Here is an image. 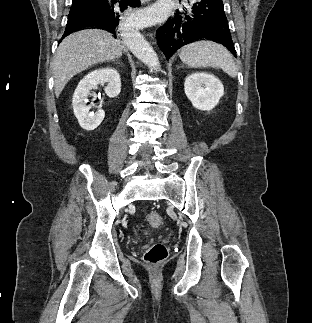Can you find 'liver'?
<instances>
[{
	"mask_svg": "<svg viewBox=\"0 0 312 323\" xmlns=\"http://www.w3.org/2000/svg\"><path fill=\"white\" fill-rule=\"evenodd\" d=\"M123 46L104 30H80L67 36L57 48L53 62L54 90L59 98L67 82L90 66L118 60Z\"/></svg>",
	"mask_w": 312,
	"mask_h": 323,
	"instance_id": "liver-1",
	"label": "liver"
}]
</instances>
